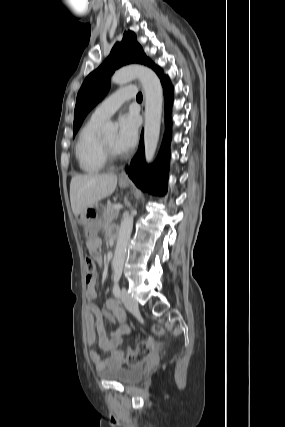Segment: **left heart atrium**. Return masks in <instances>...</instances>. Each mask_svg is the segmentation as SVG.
<instances>
[{
  "instance_id": "1",
  "label": "left heart atrium",
  "mask_w": 285,
  "mask_h": 427,
  "mask_svg": "<svg viewBox=\"0 0 285 427\" xmlns=\"http://www.w3.org/2000/svg\"><path fill=\"white\" fill-rule=\"evenodd\" d=\"M118 123L119 131L116 137V147L120 152H128L137 142L138 120L133 114H124L120 116Z\"/></svg>"
}]
</instances>
